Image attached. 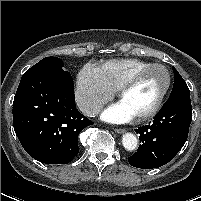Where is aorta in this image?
Segmentation results:
<instances>
[{
	"mask_svg": "<svg viewBox=\"0 0 201 201\" xmlns=\"http://www.w3.org/2000/svg\"><path fill=\"white\" fill-rule=\"evenodd\" d=\"M138 140L136 136L132 133H125L122 136V145L128 151H133L136 149Z\"/></svg>",
	"mask_w": 201,
	"mask_h": 201,
	"instance_id": "aorta-1",
	"label": "aorta"
}]
</instances>
